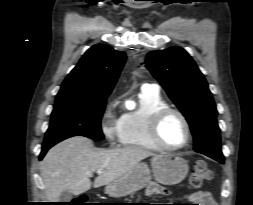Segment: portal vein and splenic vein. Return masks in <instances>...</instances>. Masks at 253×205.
<instances>
[{"label":"portal vein and splenic vein","instance_id":"obj_1","mask_svg":"<svg viewBox=\"0 0 253 205\" xmlns=\"http://www.w3.org/2000/svg\"><path fill=\"white\" fill-rule=\"evenodd\" d=\"M96 172H97V173H101V172H102V170H97Z\"/></svg>","mask_w":253,"mask_h":205}]
</instances>
